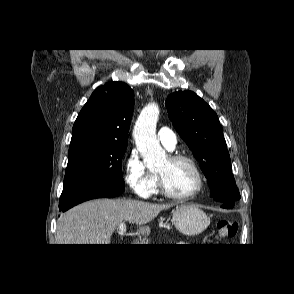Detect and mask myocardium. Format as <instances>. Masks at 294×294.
Returning a JSON list of instances; mask_svg holds the SVG:
<instances>
[{"label": "myocardium", "instance_id": "obj_1", "mask_svg": "<svg viewBox=\"0 0 294 294\" xmlns=\"http://www.w3.org/2000/svg\"><path fill=\"white\" fill-rule=\"evenodd\" d=\"M168 159L171 163H180V162L188 163L196 175L197 185L195 189L188 194H176V193H173L168 188L164 178L160 174H158L159 189L161 193L169 199L179 200V201H185L195 197L204 187V176L196 160L190 156H186L182 154L172 155Z\"/></svg>", "mask_w": 294, "mask_h": 294}]
</instances>
